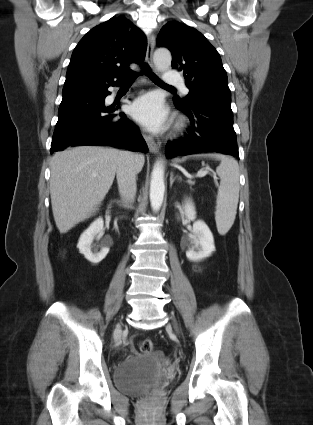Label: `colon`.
I'll return each instance as SVG.
<instances>
[{"mask_svg":"<svg viewBox=\"0 0 313 425\" xmlns=\"http://www.w3.org/2000/svg\"><path fill=\"white\" fill-rule=\"evenodd\" d=\"M138 349L142 353H150L154 350V344L149 339H143L138 343Z\"/></svg>","mask_w":313,"mask_h":425,"instance_id":"colon-1","label":"colon"}]
</instances>
